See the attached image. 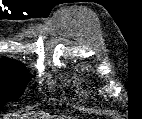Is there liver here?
Listing matches in <instances>:
<instances>
[{"mask_svg":"<svg viewBox=\"0 0 142 119\" xmlns=\"http://www.w3.org/2000/svg\"><path fill=\"white\" fill-rule=\"evenodd\" d=\"M34 117H37V116H34ZM43 119H50L52 118L51 116H48V115H45V116H42Z\"/></svg>","mask_w":142,"mask_h":119,"instance_id":"liver-1","label":"liver"}]
</instances>
